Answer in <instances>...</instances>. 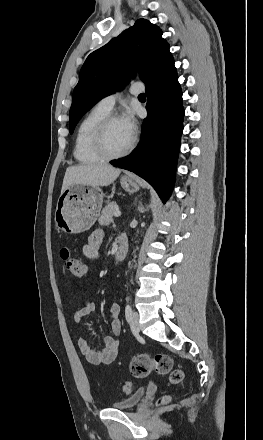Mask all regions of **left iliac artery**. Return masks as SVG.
I'll return each mask as SVG.
<instances>
[{
	"label": "left iliac artery",
	"instance_id": "1",
	"mask_svg": "<svg viewBox=\"0 0 263 440\" xmlns=\"http://www.w3.org/2000/svg\"><path fill=\"white\" fill-rule=\"evenodd\" d=\"M131 315H132L131 306L129 304H127L126 307H125V318H126L127 322L130 321Z\"/></svg>",
	"mask_w": 263,
	"mask_h": 440
}]
</instances>
